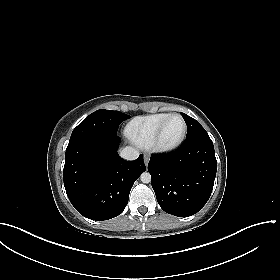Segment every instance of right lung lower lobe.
I'll return each mask as SVG.
<instances>
[{
	"mask_svg": "<svg viewBox=\"0 0 280 280\" xmlns=\"http://www.w3.org/2000/svg\"><path fill=\"white\" fill-rule=\"evenodd\" d=\"M117 135H89L69 141L63 171L64 186L74 208L91 220L121 214L137 178L146 170L141 154L122 159Z\"/></svg>",
	"mask_w": 280,
	"mask_h": 280,
	"instance_id": "98d812e1",
	"label": "right lung lower lobe"
}]
</instances>
